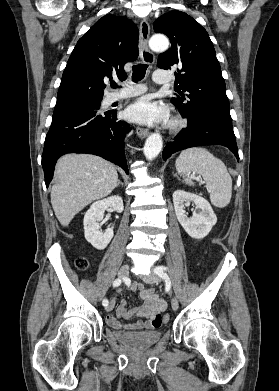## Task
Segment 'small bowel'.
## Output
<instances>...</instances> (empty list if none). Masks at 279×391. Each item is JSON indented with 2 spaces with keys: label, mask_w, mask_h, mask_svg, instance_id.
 Returning a JSON list of instances; mask_svg holds the SVG:
<instances>
[{
  "label": "small bowel",
  "mask_w": 279,
  "mask_h": 391,
  "mask_svg": "<svg viewBox=\"0 0 279 391\" xmlns=\"http://www.w3.org/2000/svg\"><path fill=\"white\" fill-rule=\"evenodd\" d=\"M133 291H139L143 305L128 309L126 300H121L117 306L115 314L107 316V322L115 329H154L161 325V314L166 310L167 303L160 298L152 289L146 288L141 283H134L131 286ZM140 317L145 320H138L134 323L124 324L121 320Z\"/></svg>",
  "instance_id": "c3829d8e"
}]
</instances>
